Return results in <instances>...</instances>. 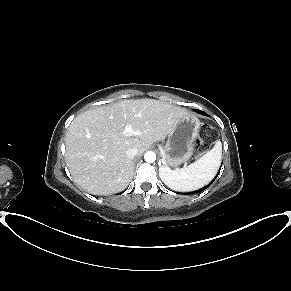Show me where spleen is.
<instances>
[{"label":"spleen","instance_id":"spleen-1","mask_svg":"<svg viewBox=\"0 0 291 291\" xmlns=\"http://www.w3.org/2000/svg\"><path fill=\"white\" fill-rule=\"evenodd\" d=\"M222 146L217 141L214 147L194 163L181 169L159 168L161 180L171 189L186 192L202 188L217 173L221 163Z\"/></svg>","mask_w":291,"mask_h":291}]
</instances>
